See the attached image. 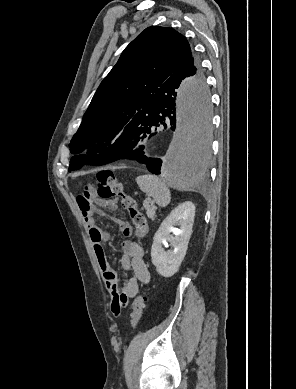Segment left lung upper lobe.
<instances>
[{
  "label": "left lung upper lobe",
  "instance_id": "obj_1",
  "mask_svg": "<svg viewBox=\"0 0 296 389\" xmlns=\"http://www.w3.org/2000/svg\"><path fill=\"white\" fill-rule=\"evenodd\" d=\"M175 75L204 78L200 62L183 35L171 28H146L101 82L69 147L71 153L78 154L91 140L106 143L89 151L90 155L72 157L69 171L85 164L100 165L101 152L135 115H147L158 89Z\"/></svg>",
  "mask_w": 296,
  "mask_h": 389
}]
</instances>
